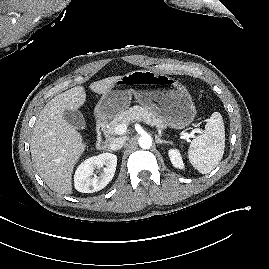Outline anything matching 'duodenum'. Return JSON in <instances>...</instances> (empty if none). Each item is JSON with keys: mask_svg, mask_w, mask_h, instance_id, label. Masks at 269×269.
I'll return each mask as SVG.
<instances>
[{"mask_svg": "<svg viewBox=\"0 0 269 269\" xmlns=\"http://www.w3.org/2000/svg\"><path fill=\"white\" fill-rule=\"evenodd\" d=\"M96 147L99 150H103L108 146L110 137L108 133L107 121L104 119H99L96 125Z\"/></svg>", "mask_w": 269, "mask_h": 269, "instance_id": "1", "label": "duodenum"}]
</instances>
